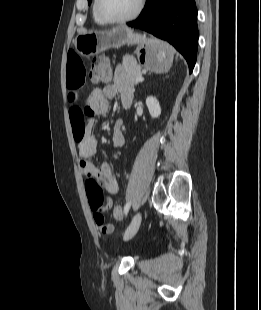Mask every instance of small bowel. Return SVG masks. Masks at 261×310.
<instances>
[{
  "label": "small bowel",
  "instance_id": "obj_1",
  "mask_svg": "<svg viewBox=\"0 0 261 310\" xmlns=\"http://www.w3.org/2000/svg\"><path fill=\"white\" fill-rule=\"evenodd\" d=\"M125 74V68L118 66L114 73L113 82L105 86L103 90H94L84 111L77 105H73L70 109V120L77 145L80 170L87 179H94L103 185L111 195L116 194L119 188L112 166L109 163H103L98 167L91 160L96 152L97 145L96 136L93 133L94 122L92 117L104 114L108 109V100L118 93L121 99L133 98V86L127 81ZM84 84V63L77 53L71 51L67 58L66 87L72 98L83 88ZM85 117L88 118L86 122ZM112 141L115 148L124 144L121 120L114 124ZM110 204L109 202L108 206ZM105 208L99 209L98 212L101 213Z\"/></svg>",
  "mask_w": 261,
  "mask_h": 310
}]
</instances>
